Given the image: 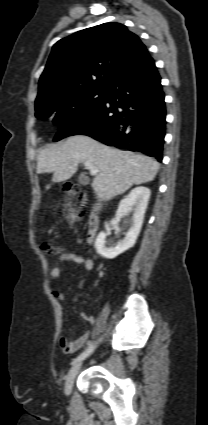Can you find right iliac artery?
Instances as JSON below:
<instances>
[{
    "label": "right iliac artery",
    "mask_w": 208,
    "mask_h": 425,
    "mask_svg": "<svg viewBox=\"0 0 208 425\" xmlns=\"http://www.w3.org/2000/svg\"><path fill=\"white\" fill-rule=\"evenodd\" d=\"M94 344H91V346L89 348H87L84 352H82L80 355H78L72 362V364H75L76 362L85 359L87 356L90 355V353L93 351L94 349Z\"/></svg>",
    "instance_id": "obj_1"
}]
</instances>
